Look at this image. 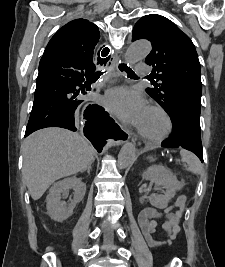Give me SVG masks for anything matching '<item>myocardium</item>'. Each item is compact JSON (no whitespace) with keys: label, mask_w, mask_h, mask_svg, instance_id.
<instances>
[{"label":"myocardium","mask_w":225,"mask_h":267,"mask_svg":"<svg viewBox=\"0 0 225 267\" xmlns=\"http://www.w3.org/2000/svg\"><path fill=\"white\" fill-rule=\"evenodd\" d=\"M148 108L159 112L163 116L166 122V127L164 131L157 136H148L143 131H141L139 128H138V133L144 140L148 142H161L165 140L166 138H168L169 135L172 133V130H173L172 118L169 115V113L163 107L159 105L151 104L148 106Z\"/></svg>","instance_id":"obj_1"}]
</instances>
